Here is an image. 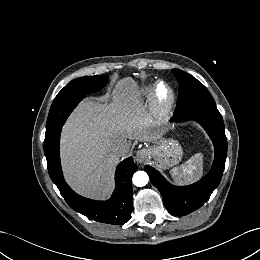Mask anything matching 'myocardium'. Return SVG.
<instances>
[{"label": "myocardium", "instance_id": "1", "mask_svg": "<svg viewBox=\"0 0 260 260\" xmlns=\"http://www.w3.org/2000/svg\"><path fill=\"white\" fill-rule=\"evenodd\" d=\"M163 85L170 94L168 101L162 103L158 98V89ZM176 103V94L169 83L163 80H158L152 87L150 93V109L151 114L156 119H166L171 114Z\"/></svg>", "mask_w": 260, "mask_h": 260}]
</instances>
